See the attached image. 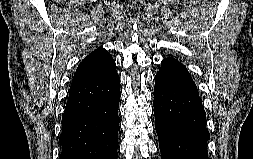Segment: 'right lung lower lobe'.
Here are the masks:
<instances>
[{
    "mask_svg": "<svg viewBox=\"0 0 253 159\" xmlns=\"http://www.w3.org/2000/svg\"><path fill=\"white\" fill-rule=\"evenodd\" d=\"M120 96L115 62L71 85L62 117L59 159H117Z\"/></svg>",
    "mask_w": 253,
    "mask_h": 159,
    "instance_id": "right-lung-lower-lobe-1",
    "label": "right lung lower lobe"
}]
</instances>
